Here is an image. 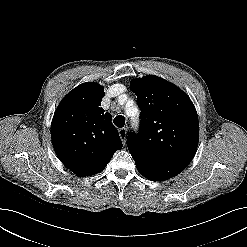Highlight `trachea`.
Here are the masks:
<instances>
[{
	"label": "trachea",
	"instance_id": "trachea-1",
	"mask_svg": "<svg viewBox=\"0 0 247 247\" xmlns=\"http://www.w3.org/2000/svg\"><path fill=\"white\" fill-rule=\"evenodd\" d=\"M113 123L119 127L122 128L125 125V117L122 115H118L114 118Z\"/></svg>",
	"mask_w": 247,
	"mask_h": 247
}]
</instances>
